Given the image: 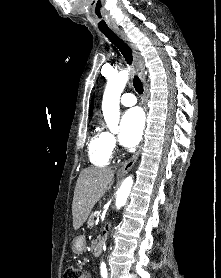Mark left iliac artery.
<instances>
[{
    "mask_svg": "<svg viewBox=\"0 0 221 278\" xmlns=\"http://www.w3.org/2000/svg\"><path fill=\"white\" fill-rule=\"evenodd\" d=\"M101 275L103 278H107V269L105 263L101 264Z\"/></svg>",
    "mask_w": 221,
    "mask_h": 278,
    "instance_id": "44dca946",
    "label": "left iliac artery"
}]
</instances>
